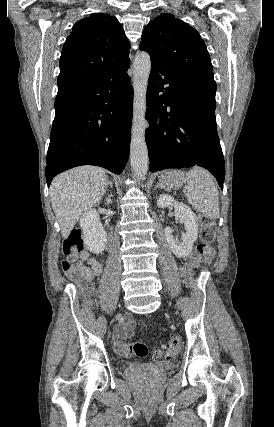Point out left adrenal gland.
I'll use <instances>...</instances> for the list:
<instances>
[{"instance_id": "a2214340", "label": "left adrenal gland", "mask_w": 274, "mask_h": 427, "mask_svg": "<svg viewBox=\"0 0 274 427\" xmlns=\"http://www.w3.org/2000/svg\"><path fill=\"white\" fill-rule=\"evenodd\" d=\"M157 188H161V186H159V184H158V186H156V190H157Z\"/></svg>"}]
</instances>
